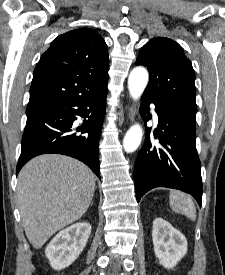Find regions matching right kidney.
<instances>
[{
    "label": "right kidney",
    "instance_id": "ca27d5eb",
    "mask_svg": "<svg viewBox=\"0 0 225 275\" xmlns=\"http://www.w3.org/2000/svg\"><path fill=\"white\" fill-rule=\"evenodd\" d=\"M91 233L87 222L73 224L60 231L48 244L45 255L55 270L71 265L86 246Z\"/></svg>",
    "mask_w": 225,
    "mask_h": 275
}]
</instances>
